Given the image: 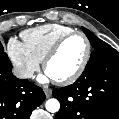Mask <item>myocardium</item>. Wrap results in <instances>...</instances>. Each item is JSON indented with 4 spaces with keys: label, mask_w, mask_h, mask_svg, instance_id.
I'll use <instances>...</instances> for the list:
<instances>
[{
    "label": "myocardium",
    "mask_w": 119,
    "mask_h": 119,
    "mask_svg": "<svg viewBox=\"0 0 119 119\" xmlns=\"http://www.w3.org/2000/svg\"><path fill=\"white\" fill-rule=\"evenodd\" d=\"M74 36H81L84 39V41L86 43L85 56H84L81 64L79 65V67L72 74H70L69 76L62 78V79H54V81L57 84L67 85V84L73 83L83 74V72L85 71V69L89 63L91 53H92V44H91L89 38L86 36V34H84L81 31H73V32H70V33L62 36L47 52L46 56L43 59L44 70L46 71L48 63L58 54V52L60 51V49L64 45V43Z\"/></svg>",
    "instance_id": "obj_1"
}]
</instances>
